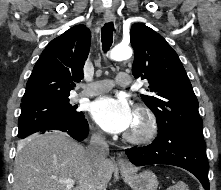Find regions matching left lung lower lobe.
I'll use <instances>...</instances> for the list:
<instances>
[{
	"instance_id": "1",
	"label": "left lung lower lobe",
	"mask_w": 221,
	"mask_h": 190,
	"mask_svg": "<svg viewBox=\"0 0 221 190\" xmlns=\"http://www.w3.org/2000/svg\"><path fill=\"white\" fill-rule=\"evenodd\" d=\"M206 143L187 136L169 126H158V136L148 146L126 149L129 160L136 166L167 164L184 168L195 175L205 190H209Z\"/></svg>"
}]
</instances>
